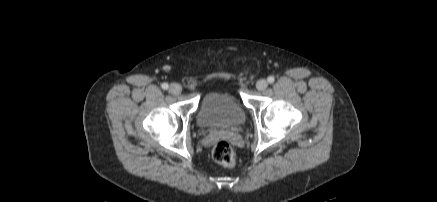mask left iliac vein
Masks as SVG:
<instances>
[{
  "mask_svg": "<svg viewBox=\"0 0 437 202\" xmlns=\"http://www.w3.org/2000/svg\"><path fill=\"white\" fill-rule=\"evenodd\" d=\"M268 86V82L265 79H260L257 83H256V88L259 91H264Z\"/></svg>",
  "mask_w": 437,
  "mask_h": 202,
  "instance_id": "4c4485c4",
  "label": "left iliac vein"
}]
</instances>
